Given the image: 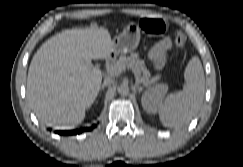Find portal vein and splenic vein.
<instances>
[{
  "label": "portal vein and splenic vein",
  "mask_w": 243,
  "mask_h": 167,
  "mask_svg": "<svg viewBox=\"0 0 243 167\" xmlns=\"http://www.w3.org/2000/svg\"><path fill=\"white\" fill-rule=\"evenodd\" d=\"M125 70V68L119 66V65H115V66H112L110 67L109 69H107V72L110 74V75H119L121 74L123 71ZM137 82H141L139 79H137Z\"/></svg>",
  "instance_id": "18ae733b"
}]
</instances>
